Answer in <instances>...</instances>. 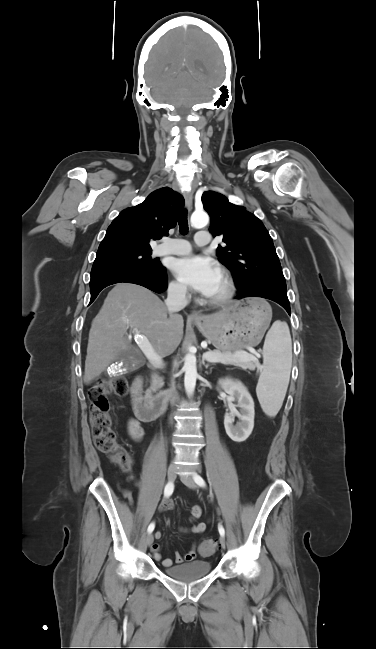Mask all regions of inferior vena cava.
Instances as JSON below:
<instances>
[{
	"label": "inferior vena cava",
	"instance_id": "1",
	"mask_svg": "<svg viewBox=\"0 0 376 649\" xmlns=\"http://www.w3.org/2000/svg\"><path fill=\"white\" fill-rule=\"evenodd\" d=\"M187 287L186 285L179 284L170 286L168 288L167 299L165 304L170 313H175L182 310L188 304V299L186 297ZM168 396L172 398V401H176L177 395L174 388L167 391Z\"/></svg>",
	"mask_w": 376,
	"mask_h": 649
}]
</instances>
